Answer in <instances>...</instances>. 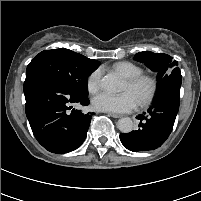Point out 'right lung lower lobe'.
I'll use <instances>...</instances> for the list:
<instances>
[{
  "instance_id": "right-lung-lower-lobe-1",
  "label": "right lung lower lobe",
  "mask_w": 201,
  "mask_h": 201,
  "mask_svg": "<svg viewBox=\"0 0 201 201\" xmlns=\"http://www.w3.org/2000/svg\"><path fill=\"white\" fill-rule=\"evenodd\" d=\"M25 111L37 141L53 153H67L77 149L85 140L91 114L73 109L71 104H89L87 97L73 94L57 79L34 73L24 82Z\"/></svg>"
}]
</instances>
